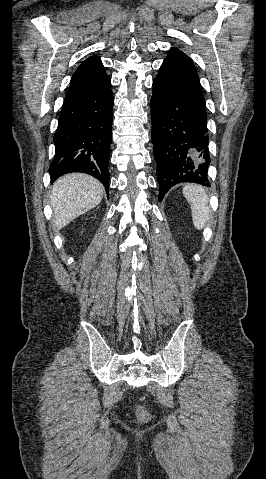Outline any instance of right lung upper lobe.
Masks as SVG:
<instances>
[{
  "label": "right lung upper lobe",
  "instance_id": "right-lung-upper-lobe-1",
  "mask_svg": "<svg viewBox=\"0 0 266 479\" xmlns=\"http://www.w3.org/2000/svg\"><path fill=\"white\" fill-rule=\"evenodd\" d=\"M105 74L101 59L97 56H91L81 63L74 73L71 82L90 80L98 78Z\"/></svg>",
  "mask_w": 266,
  "mask_h": 479
}]
</instances>
